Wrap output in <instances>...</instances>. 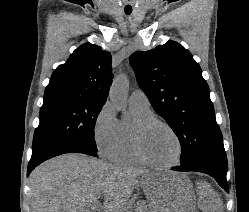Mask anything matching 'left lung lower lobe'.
<instances>
[{"mask_svg": "<svg viewBox=\"0 0 249 212\" xmlns=\"http://www.w3.org/2000/svg\"><path fill=\"white\" fill-rule=\"evenodd\" d=\"M172 170L206 173L212 176L225 191L229 192L226 180L228 166L224 147L207 150L189 163L173 167Z\"/></svg>", "mask_w": 249, "mask_h": 212, "instance_id": "left-lung-lower-lobe-1", "label": "left lung lower lobe"}]
</instances>
